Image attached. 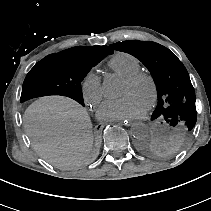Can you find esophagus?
Returning a JSON list of instances; mask_svg holds the SVG:
<instances>
[{"label":"esophagus","mask_w":211,"mask_h":211,"mask_svg":"<svg viewBox=\"0 0 211 211\" xmlns=\"http://www.w3.org/2000/svg\"><path fill=\"white\" fill-rule=\"evenodd\" d=\"M118 121H119V123H121V124L123 123V125H125V126L129 125L130 122H131L130 119H128V118L124 119V118H122V117L119 118Z\"/></svg>","instance_id":"obj_1"}]
</instances>
